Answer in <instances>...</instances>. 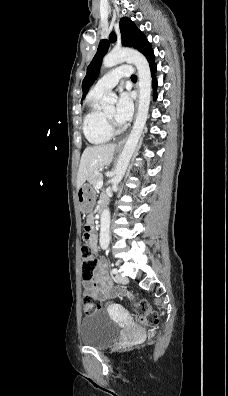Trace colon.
<instances>
[{
    "mask_svg": "<svg viewBox=\"0 0 228 396\" xmlns=\"http://www.w3.org/2000/svg\"><path fill=\"white\" fill-rule=\"evenodd\" d=\"M85 234L83 236V245L81 247L82 255V278L84 281H91L94 276V271L97 267V259L93 255L88 243L90 240V226H85ZM100 308V303L90 294L84 295L83 311L86 314L94 312ZM134 310L142 325L151 329V335L154 336L159 325V317L157 312L151 309L146 300H140L134 304Z\"/></svg>",
    "mask_w": 228,
    "mask_h": 396,
    "instance_id": "5ec220e1",
    "label": "colon"
}]
</instances>
